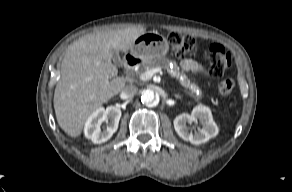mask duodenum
Segmentation results:
<instances>
[{"label": "duodenum", "mask_w": 292, "mask_h": 192, "mask_svg": "<svg viewBox=\"0 0 292 192\" xmlns=\"http://www.w3.org/2000/svg\"><path fill=\"white\" fill-rule=\"evenodd\" d=\"M140 62V59L134 55H127L124 59V66L126 68L135 67Z\"/></svg>", "instance_id": "1"}]
</instances>
